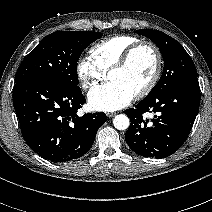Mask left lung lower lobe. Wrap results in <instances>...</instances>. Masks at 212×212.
<instances>
[{
    "mask_svg": "<svg viewBox=\"0 0 212 212\" xmlns=\"http://www.w3.org/2000/svg\"><path fill=\"white\" fill-rule=\"evenodd\" d=\"M200 105L197 77L178 82L170 88L147 95L135 108L125 110L131 120L125 134L128 146L144 157L165 158L186 141ZM154 112V119L143 114Z\"/></svg>",
    "mask_w": 212,
    "mask_h": 212,
    "instance_id": "left-lung-lower-lobe-1",
    "label": "left lung lower lobe"
}]
</instances>
